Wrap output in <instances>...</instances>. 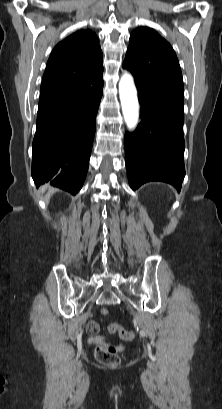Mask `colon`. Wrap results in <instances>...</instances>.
Wrapping results in <instances>:
<instances>
[{"instance_id":"1","label":"colon","mask_w":222,"mask_h":409,"mask_svg":"<svg viewBox=\"0 0 222 409\" xmlns=\"http://www.w3.org/2000/svg\"><path fill=\"white\" fill-rule=\"evenodd\" d=\"M102 315H108V310L103 309ZM110 333H118L125 341H132L135 337L134 332L125 329L119 323H111L108 326ZM121 345H101L96 349V357L99 362L105 365L114 366L120 362Z\"/></svg>"}]
</instances>
